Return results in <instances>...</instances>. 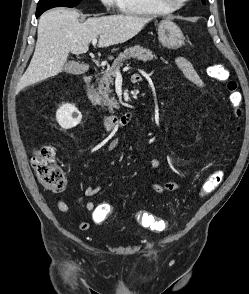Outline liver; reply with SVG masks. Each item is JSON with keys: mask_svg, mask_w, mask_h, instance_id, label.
<instances>
[{"mask_svg": "<svg viewBox=\"0 0 249 294\" xmlns=\"http://www.w3.org/2000/svg\"><path fill=\"white\" fill-rule=\"evenodd\" d=\"M79 17L77 11L64 8L51 9L40 17L35 51L17 91L58 75L69 53H86L94 38L100 36L98 47L121 44L137 35L151 20L120 14L88 18L80 23Z\"/></svg>", "mask_w": 249, "mask_h": 294, "instance_id": "obj_1", "label": "liver"}]
</instances>
